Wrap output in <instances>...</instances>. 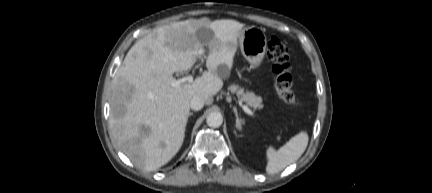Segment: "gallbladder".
Segmentation results:
<instances>
[{
    "mask_svg": "<svg viewBox=\"0 0 432 193\" xmlns=\"http://www.w3.org/2000/svg\"><path fill=\"white\" fill-rule=\"evenodd\" d=\"M202 42H203V40H201ZM122 109L120 108L119 110H118V114H122Z\"/></svg>",
    "mask_w": 432,
    "mask_h": 193,
    "instance_id": "gallbladder-1",
    "label": "gallbladder"
}]
</instances>
